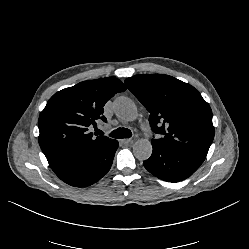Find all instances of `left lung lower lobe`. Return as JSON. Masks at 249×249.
Wrapping results in <instances>:
<instances>
[{
  "label": "left lung lower lobe",
  "mask_w": 249,
  "mask_h": 249,
  "mask_svg": "<svg viewBox=\"0 0 249 249\" xmlns=\"http://www.w3.org/2000/svg\"><path fill=\"white\" fill-rule=\"evenodd\" d=\"M153 152L144 167L154 176L168 182H179L191 176L205 157L158 144L152 139Z\"/></svg>",
  "instance_id": "0a47b994"
}]
</instances>
